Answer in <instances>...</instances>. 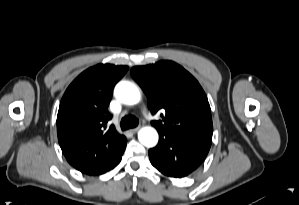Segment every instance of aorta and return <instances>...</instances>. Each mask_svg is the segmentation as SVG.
<instances>
[{"instance_id": "1", "label": "aorta", "mask_w": 299, "mask_h": 205, "mask_svg": "<svg viewBox=\"0 0 299 205\" xmlns=\"http://www.w3.org/2000/svg\"><path fill=\"white\" fill-rule=\"evenodd\" d=\"M115 96L124 104H137L141 95L138 88L131 82L121 81L114 90ZM138 139L146 147H154L158 142V133L152 127H144L138 132Z\"/></svg>"}]
</instances>
